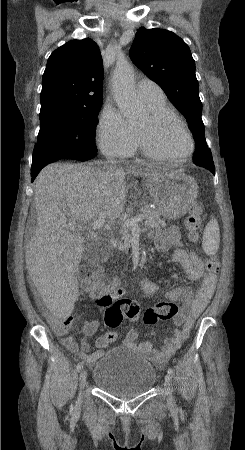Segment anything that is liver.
<instances>
[{"label":"liver","instance_id":"6515ba94","mask_svg":"<svg viewBox=\"0 0 245 450\" xmlns=\"http://www.w3.org/2000/svg\"><path fill=\"white\" fill-rule=\"evenodd\" d=\"M159 170L127 173L150 176ZM125 174L124 169L53 163L35 180L37 227L25 261L29 276L56 316L73 312L78 297L76 275L86 241L79 232L70 230L69 224L86 223L101 212L109 219L119 217L126 202Z\"/></svg>","mask_w":245,"mask_h":450}]
</instances>
